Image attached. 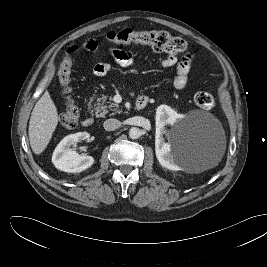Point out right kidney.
I'll return each instance as SVG.
<instances>
[{"label":"right kidney","instance_id":"obj_1","mask_svg":"<svg viewBox=\"0 0 267 267\" xmlns=\"http://www.w3.org/2000/svg\"><path fill=\"white\" fill-rule=\"evenodd\" d=\"M90 137L87 132H78L64 137L52 155L54 166L64 172L76 173L86 170L94 163L91 156L80 155L70 147Z\"/></svg>","mask_w":267,"mask_h":267}]
</instances>
